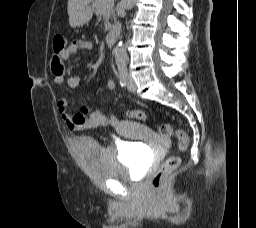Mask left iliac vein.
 <instances>
[{
  "instance_id": "obj_1",
  "label": "left iliac vein",
  "mask_w": 256,
  "mask_h": 228,
  "mask_svg": "<svg viewBox=\"0 0 256 228\" xmlns=\"http://www.w3.org/2000/svg\"><path fill=\"white\" fill-rule=\"evenodd\" d=\"M127 89L130 92H134L136 90L135 81H134L133 77L130 74H128V76H127Z\"/></svg>"
}]
</instances>
